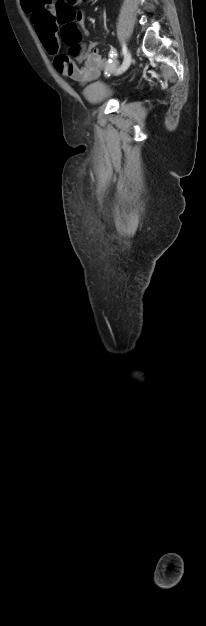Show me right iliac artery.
Masks as SVG:
<instances>
[{
	"label": "right iliac artery",
	"instance_id": "right-iliac-artery-1",
	"mask_svg": "<svg viewBox=\"0 0 206 626\" xmlns=\"http://www.w3.org/2000/svg\"><path fill=\"white\" fill-rule=\"evenodd\" d=\"M122 54H123L124 56L127 54V47H126V45H125V44H123V47H122Z\"/></svg>",
	"mask_w": 206,
	"mask_h": 626
}]
</instances>
